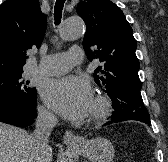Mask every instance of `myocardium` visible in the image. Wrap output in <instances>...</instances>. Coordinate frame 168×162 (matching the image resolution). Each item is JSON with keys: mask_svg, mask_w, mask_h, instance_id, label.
I'll use <instances>...</instances> for the list:
<instances>
[{"mask_svg": "<svg viewBox=\"0 0 168 162\" xmlns=\"http://www.w3.org/2000/svg\"><path fill=\"white\" fill-rule=\"evenodd\" d=\"M95 109L90 115L89 123L98 124L106 120L111 114L112 104L108 97L97 95L94 99Z\"/></svg>", "mask_w": 168, "mask_h": 162, "instance_id": "f54148a6", "label": "myocardium"}]
</instances>
